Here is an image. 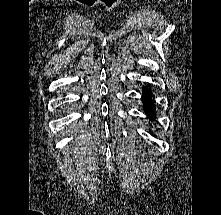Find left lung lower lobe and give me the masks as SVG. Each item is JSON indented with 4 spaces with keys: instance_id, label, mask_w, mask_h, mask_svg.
Segmentation results:
<instances>
[{
    "instance_id": "left-lung-lower-lobe-1",
    "label": "left lung lower lobe",
    "mask_w": 221,
    "mask_h": 215,
    "mask_svg": "<svg viewBox=\"0 0 221 215\" xmlns=\"http://www.w3.org/2000/svg\"><path fill=\"white\" fill-rule=\"evenodd\" d=\"M143 98L146 100L145 102V107L146 110L145 112H149V110H152V107L150 106V103L148 102L149 99L151 98V90L150 89H143Z\"/></svg>"
}]
</instances>
